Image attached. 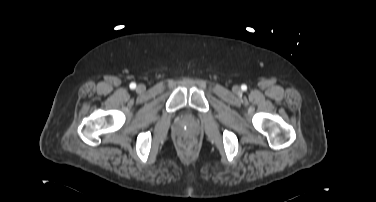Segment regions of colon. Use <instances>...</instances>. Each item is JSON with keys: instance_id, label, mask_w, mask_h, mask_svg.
Instances as JSON below:
<instances>
[{"instance_id": "1", "label": "colon", "mask_w": 376, "mask_h": 202, "mask_svg": "<svg viewBox=\"0 0 376 202\" xmlns=\"http://www.w3.org/2000/svg\"><path fill=\"white\" fill-rule=\"evenodd\" d=\"M180 144L185 148H191L195 144V139L190 135H183L180 138Z\"/></svg>"}]
</instances>
